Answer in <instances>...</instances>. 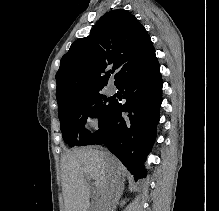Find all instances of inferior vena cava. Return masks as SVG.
<instances>
[{
	"label": "inferior vena cava",
	"mask_w": 219,
	"mask_h": 211,
	"mask_svg": "<svg viewBox=\"0 0 219 211\" xmlns=\"http://www.w3.org/2000/svg\"><path fill=\"white\" fill-rule=\"evenodd\" d=\"M121 178V174L113 175V178L111 179L112 183L107 184L108 188H106V197L103 198L104 202L101 203V206L104 208H98L97 211H112L111 209L116 206L118 198L121 197L122 184L119 183Z\"/></svg>",
	"instance_id": "1"
}]
</instances>
